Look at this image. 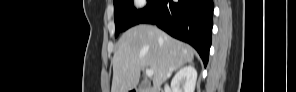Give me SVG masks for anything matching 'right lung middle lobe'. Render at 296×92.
Listing matches in <instances>:
<instances>
[{"instance_id": "right-lung-middle-lobe-1", "label": "right lung middle lobe", "mask_w": 296, "mask_h": 92, "mask_svg": "<svg viewBox=\"0 0 296 92\" xmlns=\"http://www.w3.org/2000/svg\"><path fill=\"white\" fill-rule=\"evenodd\" d=\"M147 6L141 10L133 7V0H114L115 37L122 31L139 24L151 12L159 0H147Z\"/></svg>"}]
</instances>
